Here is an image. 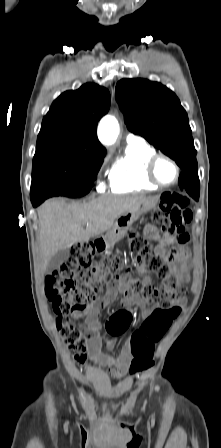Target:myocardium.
<instances>
[{"mask_svg":"<svg viewBox=\"0 0 221 448\" xmlns=\"http://www.w3.org/2000/svg\"><path fill=\"white\" fill-rule=\"evenodd\" d=\"M161 159H165V160L169 161L174 166V168L176 170L175 179L170 183H163L162 181L159 180V178L156 175V166H157L158 161ZM180 174H181V169H180L179 164L176 162L175 159H173L172 157H170L169 155H166V154H155L148 160V162L146 164V177H147L148 181L158 187H161V188H167V187H171V186L175 185L180 178Z\"/></svg>","mask_w":221,"mask_h":448,"instance_id":"myocardium-1","label":"myocardium"}]
</instances>
